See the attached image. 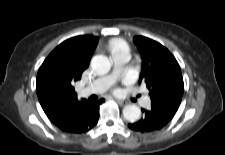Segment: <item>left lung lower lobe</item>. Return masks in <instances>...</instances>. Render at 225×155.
<instances>
[{"label": "left lung lower lobe", "mask_w": 225, "mask_h": 155, "mask_svg": "<svg viewBox=\"0 0 225 155\" xmlns=\"http://www.w3.org/2000/svg\"><path fill=\"white\" fill-rule=\"evenodd\" d=\"M142 112L144 117L128 124L130 129L139 132L160 130L171 121L177 111L162 105H151L150 109H142Z\"/></svg>", "instance_id": "obj_1"}]
</instances>
